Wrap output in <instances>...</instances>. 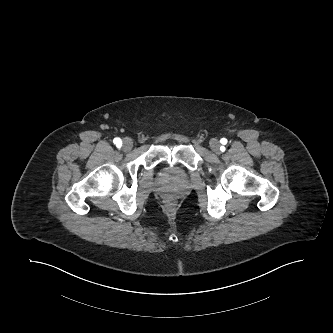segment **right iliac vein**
<instances>
[{
	"mask_svg": "<svg viewBox=\"0 0 333 333\" xmlns=\"http://www.w3.org/2000/svg\"><path fill=\"white\" fill-rule=\"evenodd\" d=\"M133 147V142L130 138H124L122 141V149L124 151H130Z\"/></svg>",
	"mask_w": 333,
	"mask_h": 333,
	"instance_id": "1",
	"label": "right iliac vein"
}]
</instances>
